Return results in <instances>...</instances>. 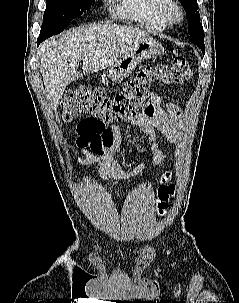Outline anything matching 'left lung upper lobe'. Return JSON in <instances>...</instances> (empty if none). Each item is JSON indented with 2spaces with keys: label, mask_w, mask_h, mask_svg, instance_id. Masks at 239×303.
<instances>
[{
  "label": "left lung upper lobe",
  "mask_w": 239,
  "mask_h": 303,
  "mask_svg": "<svg viewBox=\"0 0 239 303\" xmlns=\"http://www.w3.org/2000/svg\"><path fill=\"white\" fill-rule=\"evenodd\" d=\"M186 11L188 22L189 40L196 44L204 53V30L200 23L197 0H179Z\"/></svg>",
  "instance_id": "obj_1"
}]
</instances>
